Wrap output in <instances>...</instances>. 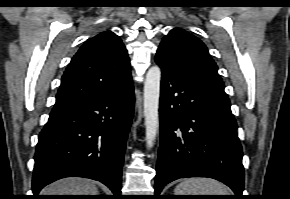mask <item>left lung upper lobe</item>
<instances>
[{
  "label": "left lung upper lobe",
  "mask_w": 290,
  "mask_h": 199,
  "mask_svg": "<svg viewBox=\"0 0 290 199\" xmlns=\"http://www.w3.org/2000/svg\"><path fill=\"white\" fill-rule=\"evenodd\" d=\"M157 54L177 72L224 90L217 65L207 47L187 31L179 28L171 30L163 38Z\"/></svg>",
  "instance_id": "5c2ea615"
}]
</instances>
